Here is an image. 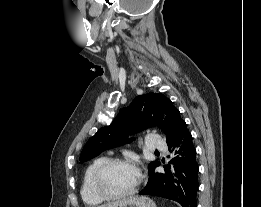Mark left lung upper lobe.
Segmentation results:
<instances>
[{
  "label": "left lung upper lobe",
  "instance_id": "obj_1",
  "mask_svg": "<svg viewBox=\"0 0 261 207\" xmlns=\"http://www.w3.org/2000/svg\"><path fill=\"white\" fill-rule=\"evenodd\" d=\"M182 121L180 112L172 101L161 93H148L137 96L132 103L121 109L113 122L102 127L85 144L80 161L90 160L103 151L131 142L130 134L139 132L146 127L158 125L166 133L169 143ZM158 161L151 162L149 172L153 170Z\"/></svg>",
  "mask_w": 261,
  "mask_h": 207
}]
</instances>
